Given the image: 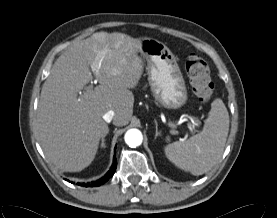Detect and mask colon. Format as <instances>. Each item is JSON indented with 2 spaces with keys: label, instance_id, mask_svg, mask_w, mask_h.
<instances>
[{
  "label": "colon",
  "instance_id": "obj_1",
  "mask_svg": "<svg viewBox=\"0 0 277 218\" xmlns=\"http://www.w3.org/2000/svg\"><path fill=\"white\" fill-rule=\"evenodd\" d=\"M185 67L195 96L202 102L209 101L214 92V84L204 58L192 53L187 57Z\"/></svg>",
  "mask_w": 277,
  "mask_h": 218
}]
</instances>
